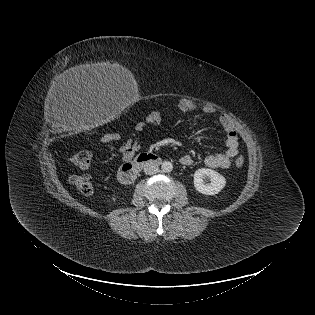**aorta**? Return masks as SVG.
<instances>
[{"mask_svg": "<svg viewBox=\"0 0 315 315\" xmlns=\"http://www.w3.org/2000/svg\"><path fill=\"white\" fill-rule=\"evenodd\" d=\"M173 169V165L170 161H164L162 164H161V170L162 172L164 173H169L171 172Z\"/></svg>", "mask_w": 315, "mask_h": 315, "instance_id": "aorta-1", "label": "aorta"}]
</instances>
